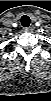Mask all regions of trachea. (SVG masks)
<instances>
[{
    "instance_id": "1",
    "label": "trachea",
    "mask_w": 51,
    "mask_h": 101,
    "mask_svg": "<svg viewBox=\"0 0 51 101\" xmlns=\"http://www.w3.org/2000/svg\"><path fill=\"white\" fill-rule=\"evenodd\" d=\"M20 21H21V25L23 27H28L30 25V22H31L30 18L27 15H23L21 17Z\"/></svg>"
}]
</instances>
